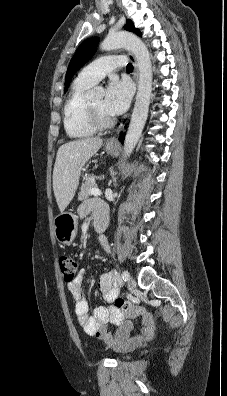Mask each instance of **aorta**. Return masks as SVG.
Instances as JSON below:
<instances>
[{
	"label": "aorta",
	"instance_id": "obj_1",
	"mask_svg": "<svg viewBox=\"0 0 227 396\" xmlns=\"http://www.w3.org/2000/svg\"><path fill=\"white\" fill-rule=\"evenodd\" d=\"M122 47L134 54L139 70L138 91L131 122L124 141V157L126 158L130 156L138 143L148 116L153 73L149 50L136 35L128 32L110 33L100 45V48L104 51ZM95 93V90L89 92L90 95Z\"/></svg>",
	"mask_w": 227,
	"mask_h": 396
}]
</instances>
